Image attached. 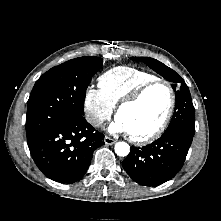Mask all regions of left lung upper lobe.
<instances>
[{"label": "left lung upper lobe", "instance_id": "5c2ea615", "mask_svg": "<svg viewBox=\"0 0 221 221\" xmlns=\"http://www.w3.org/2000/svg\"><path fill=\"white\" fill-rule=\"evenodd\" d=\"M131 59L146 63L151 69L174 84L173 89L176 92L175 112L164 133L179 131L194 135L195 108L190 91L184 80L174 70L156 59L148 57H132Z\"/></svg>", "mask_w": 221, "mask_h": 221}]
</instances>
